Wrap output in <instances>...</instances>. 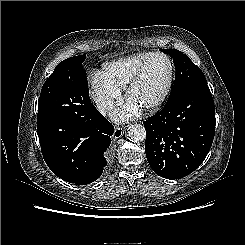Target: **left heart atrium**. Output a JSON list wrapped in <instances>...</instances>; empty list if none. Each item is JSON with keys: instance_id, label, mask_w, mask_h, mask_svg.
Segmentation results:
<instances>
[{"instance_id": "1", "label": "left heart atrium", "mask_w": 245, "mask_h": 245, "mask_svg": "<svg viewBox=\"0 0 245 245\" xmlns=\"http://www.w3.org/2000/svg\"><path fill=\"white\" fill-rule=\"evenodd\" d=\"M139 110L140 108L137 105L128 101L115 109L113 118L117 121H125L137 115Z\"/></svg>"}]
</instances>
